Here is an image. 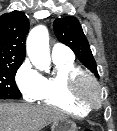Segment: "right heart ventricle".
Wrapping results in <instances>:
<instances>
[{"mask_svg": "<svg viewBox=\"0 0 117 131\" xmlns=\"http://www.w3.org/2000/svg\"><path fill=\"white\" fill-rule=\"evenodd\" d=\"M55 69L52 75L43 77L42 86L37 97L41 104L57 108L74 116H86L91 108L76 101L69 91L72 76L82 70L73 58L53 60Z\"/></svg>", "mask_w": 117, "mask_h": 131, "instance_id": "1", "label": "right heart ventricle"}]
</instances>
